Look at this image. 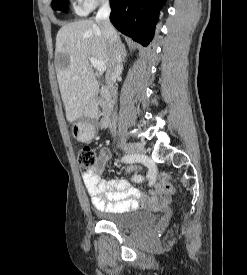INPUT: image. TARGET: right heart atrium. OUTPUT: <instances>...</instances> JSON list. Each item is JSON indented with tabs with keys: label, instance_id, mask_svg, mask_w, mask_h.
Listing matches in <instances>:
<instances>
[{
	"label": "right heart atrium",
	"instance_id": "1",
	"mask_svg": "<svg viewBox=\"0 0 247 275\" xmlns=\"http://www.w3.org/2000/svg\"><path fill=\"white\" fill-rule=\"evenodd\" d=\"M110 0H74V11L78 15L89 13L98 6L106 5Z\"/></svg>",
	"mask_w": 247,
	"mask_h": 275
}]
</instances>
